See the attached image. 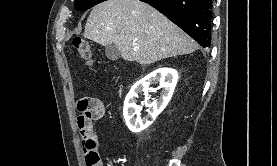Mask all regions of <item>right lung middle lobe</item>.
Instances as JSON below:
<instances>
[{
  "label": "right lung middle lobe",
  "instance_id": "1",
  "mask_svg": "<svg viewBox=\"0 0 277 166\" xmlns=\"http://www.w3.org/2000/svg\"><path fill=\"white\" fill-rule=\"evenodd\" d=\"M106 0H76L74 3V8L77 11L88 10L91 7L103 2Z\"/></svg>",
  "mask_w": 277,
  "mask_h": 166
}]
</instances>
